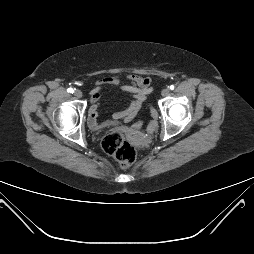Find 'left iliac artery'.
<instances>
[{
	"mask_svg": "<svg viewBox=\"0 0 254 254\" xmlns=\"http://www.w3.org/2000/svg\"><path fill=\"white\" fill-rule=\"evenodd\" d=\"M169 88H170L171 90H173V89H174V86H173V85H171Z\"/></svg>",
	"mask_w": 254,
	"mask_h": 254,
	"instance_id": "left-iliac-artery-1",
	"label": "left iliac artery"
}]
</instances>
